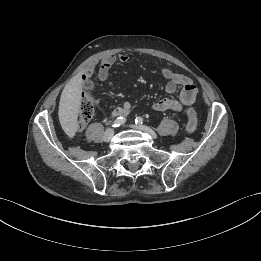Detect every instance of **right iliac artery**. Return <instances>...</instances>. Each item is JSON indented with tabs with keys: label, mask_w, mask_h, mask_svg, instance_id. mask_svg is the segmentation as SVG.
I'll list each match as a JSON object with an SVG mask.
<instances>
[{
	"label": "right iliac artery",
	"mask_w": 261,
	"mask_h": 261,
	"mask_svg": "<svg viewBox=\"0 0 261 261\" xmlns=\"http://www.w3.org/2000/svg\"><path fill=\"white\" fill-rule=\"evenodd\" d=\"M126 121L125 118L123 117H118L112 124V127L116 128V127H119L121 126L122 124H124Z\"/></svg>",
	"instance_id": "right-iliac-artery-1"
}]
</instances>
